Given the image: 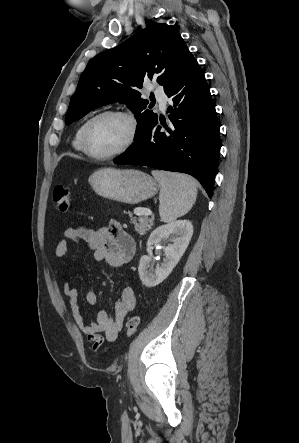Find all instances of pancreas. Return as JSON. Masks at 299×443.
I'll return each mask as SVG.
<instances>
[{"mask_svg":"<svg viewBox=\"0 0 299 443\" xmlns=\"http://www.w3.org/2000/svg\"><path fill=\"white\" fill-rule=\"evenodd\" d=\"M140 210L139 212H142ZM128 216L131 218V223L134 224V228L137 233L140 235H145L147 231L150 230L151 226L153 225V218H148L144 214H140L138 220L136 217H133V214L129 211L127 212Z\"/></svg>","mask_w":299,"mask_h":443,"instance_id":"cf45deb5","label":"pancreas"}]
</instances>
